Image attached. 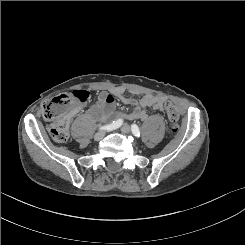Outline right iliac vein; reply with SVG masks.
I'll use <instances>...</instances> for the list:
<instances>
[{
  "mask_svg": "<svg viewBox=\"0 0 245 245\" xmlns=\"http://www.w3.org/2000/svg\"><path fill=\"white\" fill-rule=\"evenodd\" d=\"M106 134V131L105 130H101L99 132H97L94 136V140L95 141H100Z\"/></svg>",
  "mask_w": 245,
  "mask_h": 245,
  "instance_id": "1",
  "label": "right iliac vein"
}]
</instances>
